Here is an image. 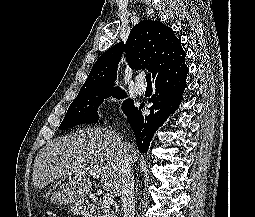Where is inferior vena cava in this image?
I'll use <instances>...</instances> for the list:
<instances>
[{
  "label": "inferior vena cava",
  "mask_w": 255,
  "mask_h": 217,
  "mask_svg": "<svg viewBox=\"0 0 255 217\" xmlns=\"http://www.w3.org/2000/svg\"><path fill=\"white\" fill-rule=\"evenodd\" d=\"M130 147H121L120 150V193L123 217H134V177L130 165Z\"/></svg>",
  "instance_id": "obj_1"
}]
</instances>
